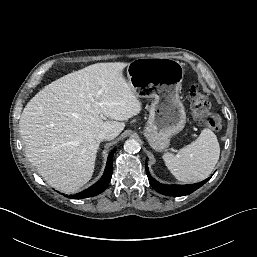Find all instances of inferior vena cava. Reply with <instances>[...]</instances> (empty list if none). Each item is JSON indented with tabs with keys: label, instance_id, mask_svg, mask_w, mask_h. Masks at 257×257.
<instances>
[{
	"label": "inferior vena cava",
	"instance_id": "obj_1",
	"mask_svg": "<svg viewBox=\"0 0 257 257\" xmlns=\"http://www.w3.org/2000/svg\"><path fill=\"white\" fill-rule=\"evenodd\" d=\"M116 136L117 135L114 132L102 131V132L99 133L98 138H99L100 141H102V140H108L109 141V140L114 139Z\"/></svg>",
	"mask_w": 257,
	"mask_h": 257
}]
</instances>
